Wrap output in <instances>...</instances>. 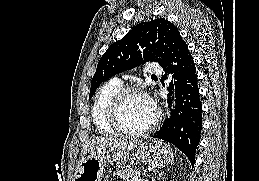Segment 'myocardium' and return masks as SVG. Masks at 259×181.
I'll return each mask as SVG.
<instances>
[{
  "label": "myocardium",
  "mask_w": 259,
  "mask_h": 181,
  "mask_svg": "<svg viewBox=\"0 0 259 181\" xmlns=\"http://www.w3.org/2000/svg\"><path fill=\"white\" fill-rule=\"evenodd\" d=\"M136 95L142 96V97L148 99L149 101H151V99L149 98L147 93L144 90H142L141 88L125 87V88H121L118 91V93L114 96V98L111 102V105H110V109H109L110 122H111L112 126L115 128V130L118 133H120L126 137H131V138L141 137V136H144V135L150 133L151 131H153L156 128V126L158 125V123L160 121V112L158 109L155 108L154 119L145 128L133 131V130H129L123 126L122 121H121V113H122L123 106L129 97L136 96Z\"/></svg>",
  "instance_id": "f54148a6"
}]
</instances>
